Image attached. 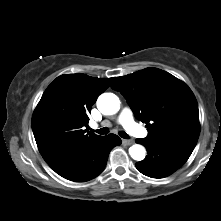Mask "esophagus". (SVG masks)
Here are the masks:
<instances>
[{
    "mask_svg": "<svg viewBox=\"0 0 221 221\" xmlns=\"http://www.w3.org/2000/svg\"><path fill=\"white\" fill-rule=\"evenodd\" d=\"M122 143H123V145H132L133 144V141L132 140H122Z\"/></svg>",
    "mask_w": 221,
    "mask_h": 221,
    "instance_id": "1",
    "label": "esophagus"
}]
</instances>
